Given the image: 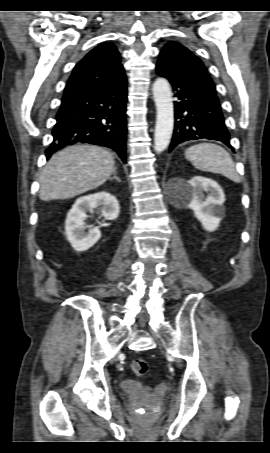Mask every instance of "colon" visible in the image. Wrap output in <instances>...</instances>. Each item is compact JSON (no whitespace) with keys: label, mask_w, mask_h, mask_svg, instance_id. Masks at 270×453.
<instances>
[{"label":"colon","mask_w":270,"mask_h":453,"mask_svg":"<svg viewBox=\"0 0 270 453\" xmlns=\"http://www.w3.org/2000/svg\"><path fill=\"white\" fill-rule=\"evenodd\" d=\"M131 368L137 376H144L149 370L148 363L144 359L134 360L131 364Z\"/></svg>","instance_id":"colon-1"}]
</instances>
